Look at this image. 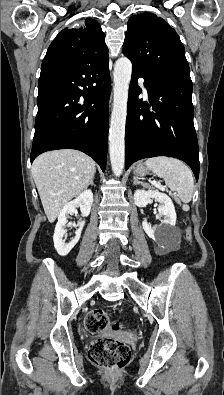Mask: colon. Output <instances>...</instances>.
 Returning a JSON list of instances; mask_svg holds the SVG:
<instances>
[{
    "label": "colon",
    "instance_id": "colon-1",
    "mask_svg": "<svg viewBox=\"0 0 224 395\" xmlns=\"http://www.w3.org/2000/svg\"><path fill=\"white\" fill-rule=\"evenodd\" d=\"M188 239H191L190 230L187 231ZM84 325L88 332L97 334L107 328L117 330L119 324L110 323L107 313L102 309L91 310L84 319ZM91 361L103 368L118 370L124 368L130 358L131 349L128 344L113 338H100L95 340L90 348Z\"/></svg>",
    "mask_w": 224,
    "mask_h": 395
}]
</instances>
